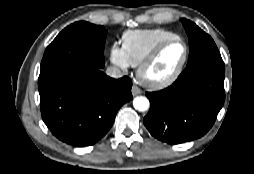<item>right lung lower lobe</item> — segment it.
Listing matches in <instances>:
<instances>
[{"mask_svg": "<svg viewBox=\"0 0 254 174\" xmlns=\"http://www.w3.org/2000/svg\"><path fill=\"white\" fill-rule=\"evenodd\" d=\"M38 86L44 123L59 140L76 147L103 138L120 107L132 99L131 79L110 78L101 68L70 69Z\"/></svg>", "mask_w": 254, "mask_h": 174, "instance_id": "98d812e1", "label": "right lung lower lobe"}]
</instances>
